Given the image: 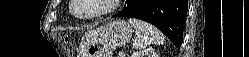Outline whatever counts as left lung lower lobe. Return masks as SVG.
Returning a JSON list of instances; mask_svg holds the SVG:
<instances>
[{"instance_id":"0a47b994","label":"left lung lower lobe","mask_w":249,"mask_h":57,"mask_svg":"<svg viewBox=\"0 0 249 57\" xmlns=\"http://www.w3.org/2000/svg\"><path fill=\"white\" fill-rule=\"evenodd\" d=\"M187 9V0H126L124 8L114 17H133L147 21L176 46H180Z\"/></svg>"}]
</instances>
